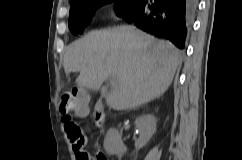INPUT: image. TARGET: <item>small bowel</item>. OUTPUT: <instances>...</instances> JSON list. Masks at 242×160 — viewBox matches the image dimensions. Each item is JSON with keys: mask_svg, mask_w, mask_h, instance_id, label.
<instances>
[{"mask_svg": "<svg viewBox=\"0 0 242 160\" xmlns=\"http://www.w3.org/2000/svg\"><path fill=\"white\" fill-rule=\"evenodd\" d=\"M76 115L80 116V117L88 115V108H86L85 111L76 112ZM82 147L78 148V147L75 146V144H73V150H74V153H75V156H76V160H80V158H79L80 154L85 152Z\"/></svg>", "mask_w": 242, "mask_h": 160, "instance_id": "c3829d8e", "label": "small bowel"}]
</instances>
